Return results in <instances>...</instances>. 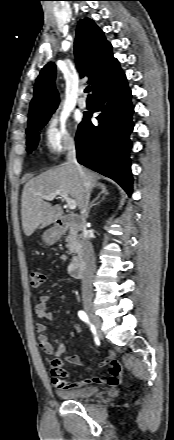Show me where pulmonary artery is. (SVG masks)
Masks as SVG:
<instances>
[{"mask_svg":"<svg viewBox=\"0 0 174 440\" xmlns=\"http://www.w3.org/2000/svg\"><path fill=\"white\" fill-rule=\"evenodd\" d=\"M77 105H78V107L79 108H86V106H87V102H86V100L84 99V98H82V97H80L78 100H77Z\"/></svg>","mask_w":174,"mask_h":440,"instance_id":"e3ab8cb5","label":"pulmonary artery"}]
</instances>
